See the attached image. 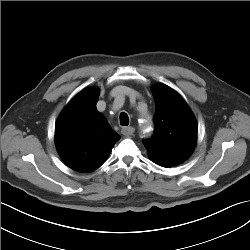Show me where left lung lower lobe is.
<instances>
[{
	"label": "left lung lower lobe",
	"mask_w": 250,
	"mask_h": 250,
	"mask_svg": "<svg viewBox=\"0 0 250 250\" xmlns=\"http://www.w3.org/2000/svg\"><path fill=\"white\" fill-rule=\"evenodd\" d=\"M151 159V158H150ZM154 163L163 166V167H171L173 165H178L180 162H173V161H168V160H163V159H151Z\"/></svg>",
	"instance_id": "left-lung-lower-lobe-1"
}]
</instances>
